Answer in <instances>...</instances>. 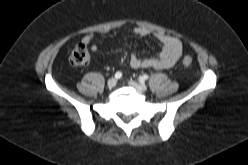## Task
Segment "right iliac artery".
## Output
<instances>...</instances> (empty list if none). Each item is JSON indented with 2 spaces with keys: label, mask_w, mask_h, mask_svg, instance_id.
Returning a JSON list of instances; mask_svg holds the SVG:
<instances>
[{
  "label": "right iliac artery",
  "mask_w": 248,
  "mask_h": 165,
  "mask_svg": "<svg viewBox=\"0 0 248 165\" xmlns=\"http://www.w3.org/2000/svg\"><path fill=\"white\" fill-rule=\"evenodd\" d=\"M121 77H122V73L121 72L118 71V72L115 73V78L116 79H120Z\"/></svg>",
  "instance_id": "obj_1"
}]
</instances>
